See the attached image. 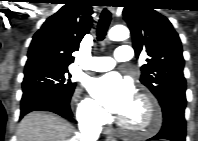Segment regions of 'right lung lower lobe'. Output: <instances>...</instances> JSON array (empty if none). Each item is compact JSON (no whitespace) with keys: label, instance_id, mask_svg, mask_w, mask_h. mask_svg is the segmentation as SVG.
<instances>
[{"label":"right lung lower lobe","instance_id":"1","mask_svg":"<svg viewBox=\"0 0 198 141\" xmlns=\"http://www.w3.org/2000/svg\"><path fill=\"white\" fill-rule=\"evenodd\" d=\"M70 98L44 90L23 92L20 118L32 111H50L69 119L72 117Z\"/></svg>","mask_w":198,"mask_h":141}]
</instances>
